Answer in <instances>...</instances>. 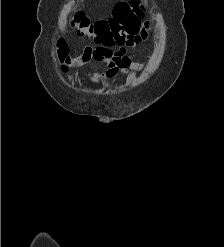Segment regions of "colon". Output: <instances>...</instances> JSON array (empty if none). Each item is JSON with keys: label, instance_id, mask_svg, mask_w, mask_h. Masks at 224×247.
<instances>
[{"label": "colon", "instance_id": "obj_1", "mask_svg": "<svg viewBox=\"0 0 224 247\" xmlns=\"http://www.w3.org/2000/svg\"><path fill=\"white\" fill-rule=\"evenodd\" d=\"M144 12L145 6L140 0H130L115 5L113 15L108 19L92 22L84 12L75 9L68 12V17L79 35L95 41H113L137 32Z\"/></svg>", "mask_w": 224, "mask_h": 247}]
</instances>
